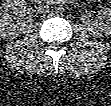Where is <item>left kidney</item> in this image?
Instances as JSON below:
<instances>
[{
	"instance_id": "5707ae66",
	"label": "left kidney",
	"mask_w": 111,
	"mask_h": 106,
	"mask_svg": "<svg viewBox=\"0 0 111 106\" xmlns=\"http://www.w3.org/2000/svg\"><path fill=\"white\" fill-rule=\"evenodd\" d=\"M103 16L99 17L89 26V31L95 35L111 34V9L103 8L101 10Z\"/></svg>"
}]
</instances>
